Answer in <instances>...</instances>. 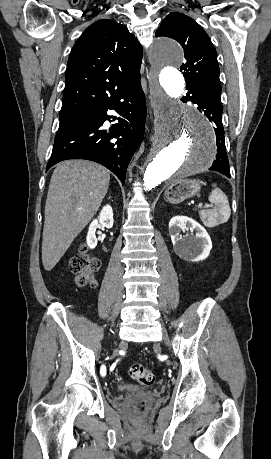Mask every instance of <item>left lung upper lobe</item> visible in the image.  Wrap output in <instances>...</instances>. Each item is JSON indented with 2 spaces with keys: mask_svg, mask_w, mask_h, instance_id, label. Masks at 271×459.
Segmentation results:
<instances>
[{
  "mask_svg": "<svg viewBox=\"0 0 271 459\" xmlns=\"http://www.w3.org/2000/svg\"><path fill=\"white\" fill-rule=\"evenodd\" d=\"M159 36L173 38L183 47L185 63L180 71L185 77L186 89L207 87L214 92V99L220 100L217 53L203 28L189 16L172 12L165 17L157 30L156 37Z\"/></svg>",
  "mask_w": 271,
  "mask_h": 459,
  "instance_id": "left-lung-upper-lobe-1",
  "label": "left lung upper lobe"
}]
</instances>
